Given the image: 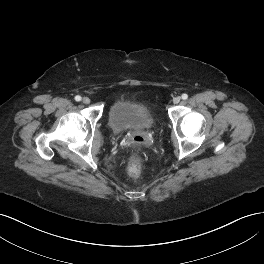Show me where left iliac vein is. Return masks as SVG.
Here are the masks:
<instances>
[{"label":"left iliac vein","instance_id":"4c4485c4","mask_svg":"<svg viewBox=\"0 0 264 264\" xmlns=\"http://www.w3.org/2000/svg\"><path fill=\"white\" fill-rule=\"evenodd\" d=\"M181 101V97L177 96L173 99L174 104H178Z\"/></svg>","mask_w":264,"mask_h":264}]
</instances>
